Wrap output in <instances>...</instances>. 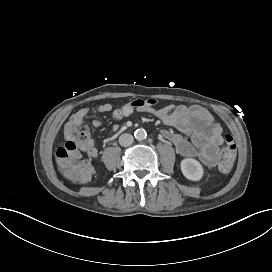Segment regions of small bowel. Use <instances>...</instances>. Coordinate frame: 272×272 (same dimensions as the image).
Wrapping results in <instances>:
<instances>
[{"label":"small bowel","instance_id":"c3829d8e","mask_svg":"<svg viewBox=\"0 0 272 272\" xmlns=\"http://www.w3.org/2000/svg\"><path fill=\"white\" fill-rule=\"evenodd\" d=\"M84 108L91 109L94 114L106 113L112 111L114 105L105 103L96 109ZM138 110L149 113L180 131V133L169 130L161 132L162 138L174 145L178 155L184 158H198L205 166L215 167L216 158L209 152V148L217 147L223 142V128L208 109L200 105H165L159 108L144 106ZM103 123L95 117L91 121L93 128H100ZM84 153L92 159L99 157V151L95 145L90 151Z\"/></svg>","mask_w":272,"mask_h":272}]
</instances>
